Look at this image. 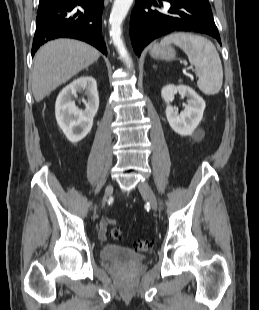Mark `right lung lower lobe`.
<instances>
[{
	"instance_id": "98d812e1",
	"label": "right lung lower lobe",
	"mask_w": 259,
	"mask_h": 310,
	"mask_svg": "<svg viewBox=\"0 0 259 310\" xmlns=\"http://www.w3.org/2000/svg\"><path fill=\"white\" fill-rule=\"evenodd\" d=\"M103 4L104 0H47L39 3L32 56L41 45L59 37L85 41L107 55L101 27Z\"/></svg>"
}]
</instances>
